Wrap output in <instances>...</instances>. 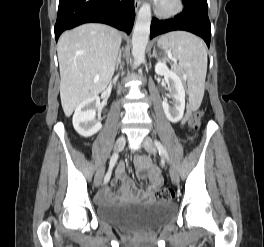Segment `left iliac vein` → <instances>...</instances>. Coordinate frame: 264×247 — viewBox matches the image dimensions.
<instances>
[{"label":"left iliac vein","instance_id":"left-iliac-vein-1","mask_svg":"<svg viewBox=\"0 0 264 247\" xmlns=\"http://www.w3.org/2000/svg\"><path fill=\"white\" fill-rule=\"evenodd\" d=\"M143 147L149 153L156 154V152H157V149H156V147L154 145V142L149 137H145L144 142H143ZM169 174H170L172 182L174 184H178L179 175H178L176 169L173 166H170Z\"/></svg>","mask_w":264,"mask_h":247}]
</instances>
